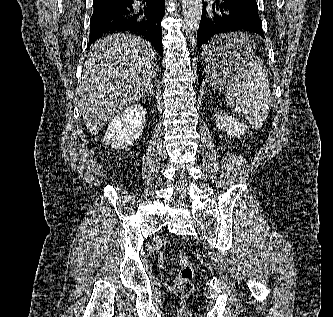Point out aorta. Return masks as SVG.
Returning a JSON list of instances; mask_svg holds the SVG:
<instances>
[{
    "instance_id": "aorta-1",
    "label": "aorta",
    "mask_w": 333,
    "mask_h": 317,
    "mask_svg": "<svg viewBox=\"0 0 333 317\" xmlns=\"http://www.w3.org/2000/svg\"><path fill=\"white\" fill-rule=\"evenodd\" d=\"M182 9L185 29L197 31L202 16V0H182Z\"/></svg>"
}]
</instances>
